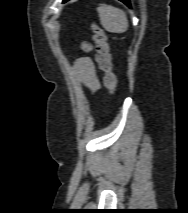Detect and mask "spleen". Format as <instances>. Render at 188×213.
<instances>
[{
	"label": "spleen",
	"instance_id": "obj_1",
	"mask_svg": "<svg viewBox=\"0 0 188 213\" xmlns=\"http://www.w3.org/2000/svg\"><path fill=\"white\" fill-rule=\"evenodd\" d=\"M101 25L109 32L123 33L128 29L125 12L111 5L101 4L98 9Z\"/></svg>",
	"mask_w": 188,
	"mask_h": 213
}]
</instances>
